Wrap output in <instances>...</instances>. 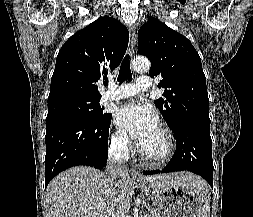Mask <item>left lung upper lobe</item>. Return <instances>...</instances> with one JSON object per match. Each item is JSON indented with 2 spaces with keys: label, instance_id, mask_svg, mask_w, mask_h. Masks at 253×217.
Returning <instances> with one entry per match:
<instances>
[{
  "label": "left lung upper lobe",
  "instance_id": "obj_1",
  "mask_svg": "<svg viewBox=\"0 0 253 217\" xmlns=\"http://www.w3.org/2000/svg\"><path fill=\"white\" fill-rule=\"evenodd\" d=\"M138 52L151 61L149 76L160 75L163 97L155 101L173 131L184 120L210 123L209 99L201 59L191 42L156 18L138 32Z\"/></svg>",
  "mask_w": 253,
  "mask_h": 217
}]
</instances>
